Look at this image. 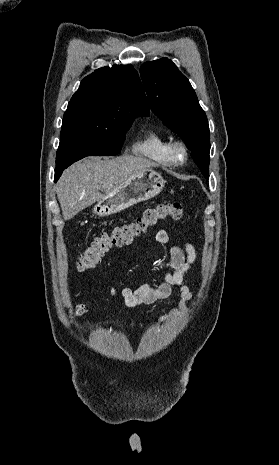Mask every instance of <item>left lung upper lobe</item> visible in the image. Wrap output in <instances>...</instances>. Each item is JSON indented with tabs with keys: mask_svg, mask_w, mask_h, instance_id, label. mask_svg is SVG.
<instances>
[{
	"mask_svg": "<svg viewBox=\"0 0 279 465\" xmlns=\"http://www.w3.org/2000/svg\"><path fill=\"white\" fill-rule=\"evenodd\" d=\"M152 111L185 141L203 175L209 178L210 133L205 112L188 79L167 58L140 69Z\"/></svg>",
	"mask_w": 279,
	"mask_h": 465,
	"instance_id": "5c2ea615",
	"label": "left lung upper lobe"
}]
</instances>
